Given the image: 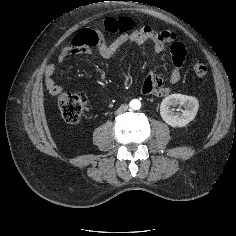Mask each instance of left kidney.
Returning <instances> with one entry per match:
<instances>
[{"label":"left kidney","instance_id":"obj_1","mask_svg":"<svg viewBox=\"0 0 236 236\" xmlns=\"http://www.w3.org/2000/svg\"><path fill=\"white\" fill-rule=\"evenodd\" d=\"M180 105L184 110L173 112L170 107ZM199 102L193 96L171 94L163 99L160 105L162 119L172 127H184L191 122L198 112Z\"/></svg>","mask_w":236,"mask_h":236}]
</instances>
